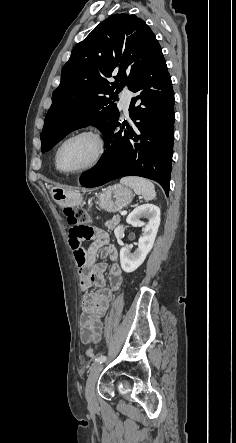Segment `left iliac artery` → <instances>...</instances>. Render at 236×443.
Instances as JSON below:
<instances>
[{
    "label": "left iliac artery",
    "instance_id": "left-iliac-artery-1",
    "mask_svg": "<svg viewBox=\"0 0 236 443\" xmlns=\"http://www.w3.org/2000/svg\"><path fill=\"white\" fill-rule=\"evenodd\" d=\"M106 360V357L101 355L98 358L95 359L96 363H103Z\"/></svg>",
    "mask_w": 236,
    "mask_h": 443
}]
</instances>
